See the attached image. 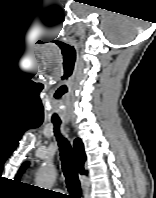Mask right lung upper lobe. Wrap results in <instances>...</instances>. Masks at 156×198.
I'll return each mask as SVG.
<instances>
[{"instance_id":"cb5924a9","label":"right lung upper lobe","mask_w":156,"mask_h":198,"mask_svg":"<svg viewBox=\"0 0 156 198\" xmlns=\"http://www.w3.org/2000/svg\"><path fill=\"white\" fill-rule=\"evenodd\" d=\"M74 156L76 159V164L78 166V171L80 172V174H86V171L84 170V162L86 160V154L84 152V145L79 138H77L74 141ZM27 165H28L27 162L23 164L18 175L16 176V179H19V176L21 175L22 171L25 169Z\"/></svg>"}]
</instances>
